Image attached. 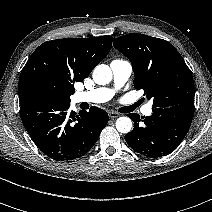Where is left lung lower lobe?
Instances as JSON below:
<instances>
[{
  "mask_svg": "<svg viewBox=\"0 0 212 212\" xmlns=\"http://www.w3.org/2000/svg\"><path fill=\"white\" fill-rule=\"evenodd\" d=\"M152 110L153 114L148 117L128 115L134 122V129L125 135V140L135 152L158 158L170 154L182 142L192 122L194 105Z\"/></svg>",
  "mask_w": 212,
  "mask_h": 212,
  "instance_id": "1",
  "label": "left lung lower lobe"
}]
</instances>
